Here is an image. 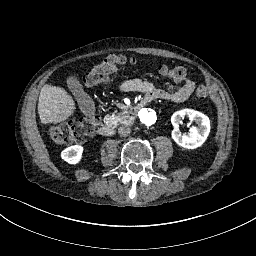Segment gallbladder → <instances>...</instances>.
<instances>
[{"label": "gallbladder", "mask_w": 256, "mask_h": 256, "mask_svg": "<svg viewBox=\"0 0 256 256\" xmlns=\"http://www.w3.org/2000/svg\"><path fill=\"white\" fill-rule=\"evenodd\" d=\"M68 90L73 94L80 111L85 117H92L96 113V106L92 97L85 92L77 75L69 74L66 77Z\"/></svg>", "instance_id": "gallbladder-1"}]
</instances>
